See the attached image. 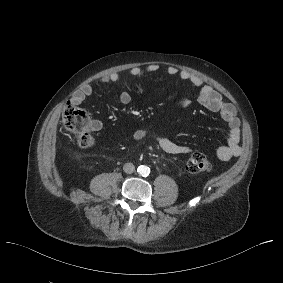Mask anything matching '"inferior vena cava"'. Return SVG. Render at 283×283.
I'll list each match as a JSON object with an SVG mask.
<instances>
[{
    "mask_svg": "<svg viewBox=\"0 0 283 283\" xmlns=\"http://www.w3.org/2000/svg\"><path fill=\"white\" fill-rule=\"evenodd\" d=\"M124 172L131 174L135 171V166L132 163H125L123 166Z\"/></svg>",
    "mask_w": 283,
    "mask_h": 283,
    "instance_id": "inferior-vena-cava-1",
    "label": "inferior vena cava"
}]
</instances>
